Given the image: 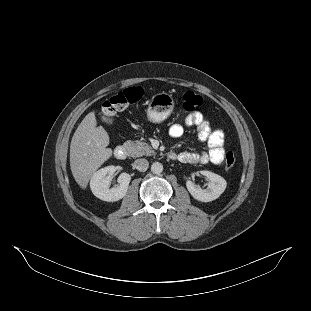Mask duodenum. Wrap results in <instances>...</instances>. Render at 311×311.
<instances>
[{
    "mask_svg": "<svg viewBox=\"0 0 311 311\" xmlns=\"http://www.w3.org/2000/svg\"><path fill=\"white\" fill-rule=\"evenodd\" d=\"M114 156L119 159V160H122V159H125L126 156H127V149L126 147H124L123 145H119L117 146L115 149H114ZM168 158L170 159H175L176 158V154L171 152L168 154Z\"/></svg>",
    "mask_w": 311,
    "mask_h": 311,
    "instance_id": "1",
    "label": "duodenum"
}]
</instances>
